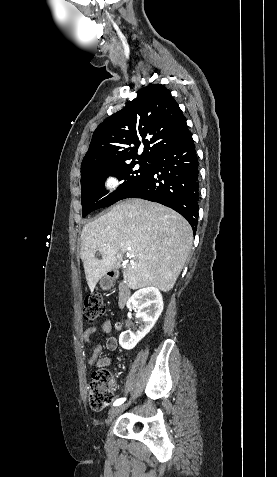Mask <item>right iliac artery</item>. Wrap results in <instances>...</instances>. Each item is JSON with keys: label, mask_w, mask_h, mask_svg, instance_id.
<instances>
[{"label": "right iliac artery", "mask_w": 277, "mask_h": 477, "mask_svg": "<svg viewBox=\"0 0 277 477\" xmlns=\"http://www.w3.org/2000/svg\"><path fill=\"white\" fill-rule=\"evenodd\" d=\"M125 400H126V398L117 399V400L114 402L113 405H114V406L121 405Z\"/></svg>", "instance_id": "1"}]
</instances>
